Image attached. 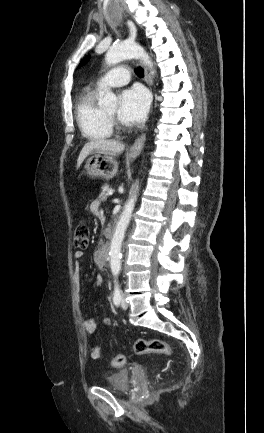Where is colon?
<instances>
[{
	"instance_id": "5ec220e1",
	"label": "colon",
	"mask_w": 264,
	"mask_h": 433,
	"mask_svg": "<svg viewBox=\"0 0 264 433\" xmlns=\"http://www.w3.org/2000/svg\"><path fill=\"white\" fill-rule=\"evenodd\" d=\"M90 241V232L86 223H80L74 233V245L79 249H86ZM137 354H161L165 356L172 355L171 347L160 339H137L133 345ZM126 359L123 355H116L111 360L113 367H121L125 364Z\"/></svg>"
}]
</instances>
